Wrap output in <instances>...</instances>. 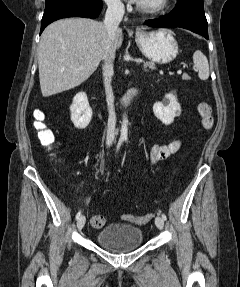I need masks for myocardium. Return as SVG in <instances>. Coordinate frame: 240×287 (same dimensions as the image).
Wrapping results in <instances>:
<instances>
[{"instance_id":"myocardium-1","label":"myocardium","mask_w":240,"mask_h":287,"mask_svg":"<svg viewBox=\"0 0 240 287\" xmlns=\"http://www.w3.org/2000/svg\"><path fill=\"white\" fill-rule=\"evenodd\" d=\"M169 0H159L154 5H145L140 2L137 3V9L145 14H159L164 11L168 5Z\"/></svg>"}]
</instances>
